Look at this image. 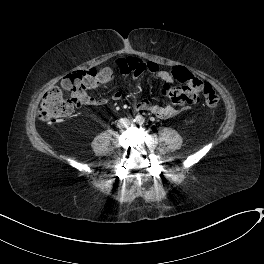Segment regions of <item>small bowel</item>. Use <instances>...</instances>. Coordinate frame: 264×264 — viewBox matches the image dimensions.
<instances>
[{
	"mask_svg": "<svg viewBox=\"0 0 264 264\" xmlns=\"http://www.w3.org/2000/svg\"><path fill=\"white\" fill-rule=\"evenodd\" d=\"M118 61L123 62V66L119 68L118 71L125 76L126 81H134L144 70H148L157 80L164 81L168 84L175 83V79L170 71L161 70L159 66L152 61H143L134 57H125L115 61L114 64L118 63ZM107 82L108 79L104 77L92 81L88 80L86 83L91 87H102L105 86ZM123 94V89H118L112 92L109 96L93 97L85 95L83 103L90 106L106 105L111 101L120 100L123 97ZM196 101L197 99L193 103ZM134 108L137 111H148L162 119L171 118L177 112L176 108L172 105H157L151 103L148 99H140L136 101Z\"/></svg>",
	"mask_w": 264,
	"mask_h": 264,
	"instance_id": "small-bowel-1",
	"label": "small bowel"
}]
</instances>
